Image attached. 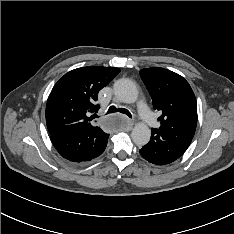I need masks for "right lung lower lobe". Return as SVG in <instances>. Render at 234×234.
Listing matches in <instances>:
<instances>
[{"label": "right lung lower lobe", "instance_id": "98d812e1", "mask_svg": "<svg viewBox=\"0 0 234 234\" xmlns=\"http://www.w3.org/2000/svg\"><path fill=\"white\" fill-rule=\"evenodd\" d=\"M109 134L99 127H78L51 135V140L62 157L71 162L90 161L101 155Z\"/></svg>", "mask_w": 234, "mask_h": 234}]
</instances>
